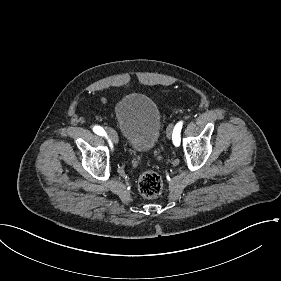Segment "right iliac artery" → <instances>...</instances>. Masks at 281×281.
Returning a JSON list of instances; mask_svg holds the SVG:
<instances>
[{"instance_id":"right-iliac-artery-1","label":"right iliac artery","mask_w":281,"mask_h":281,"mask_svg":"<svg viewBox=\"0 0 281 281\" xmlns=\"http://www.w3.org/2000/svg\"><path fill=\"white\" fill-rule=\"evenodd\" d=\"M93 131L98 134V135H101V136H106L107 137V134L105 133L104 129L100 126H95L93 128Z\"/></svg>"}]
</instances>
